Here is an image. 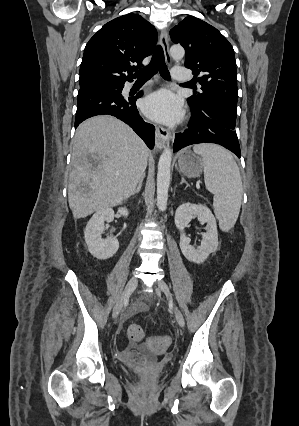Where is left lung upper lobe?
Returning a JSON list of instances; mask_svg holds the SVG:
<instances>
[{"label":"left lung upper lobe","mask_w":299,"mask_h":426,"mask_svg":"<svg viewBox=\"0 0 299 426\" xmlns=\"http://www.w3.org/2000/svg\"><path fill=\"white\" fill-rule=\"evenodd\" d=\"M170 36L185 49V67L195 77L200 75L202 92L189 97V103L198 108L216 104L237 114L236 62L227 39L216 28L193 16L172 28Z\"/></svg>","instance_id":"obj_1"}]
</instances>
